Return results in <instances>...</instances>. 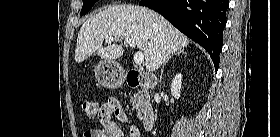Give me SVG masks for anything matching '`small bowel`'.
I'll return each mask as SVG.
<instances>
[{"label":"small bowel","instance_id":"small-bowel-1","mask_svg":"<svg viewBox=\"0 0 280 137\" xmlns=\"http://www.w3.org/2000/svg\"><path fill=\"white\" fill-rule=\"evenodd\" d=\"M127 122L128 117L115 97H109L98 112L100 128H93L84 133V137H123V133L116 121ZM139 135L136 129L130 133V137Z\"/></svg>","mask_w":280,"mask_h":137}]
</instances>
